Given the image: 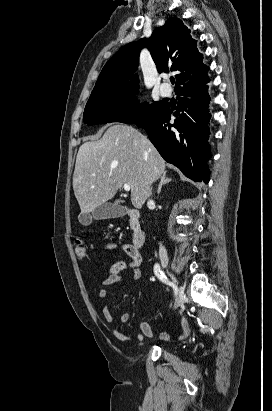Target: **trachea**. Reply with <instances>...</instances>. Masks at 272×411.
Segmentation results:
<instances>
[{"label": "trachea", "mask_w": 272, "mask_h": 411, "mask_svg": "<svg viewBox=\"0 0 272 411\" xmlns=\"http://www.w3.org/2000/svg\"><path fill=\"white\" fill-rule=\"evenodd\" d=\"M170 81H171L172 84H174L175 79H174L173 77H171V78H170Z\"/></svg>", "instance_id": "trachea-1"}]
</instances>
